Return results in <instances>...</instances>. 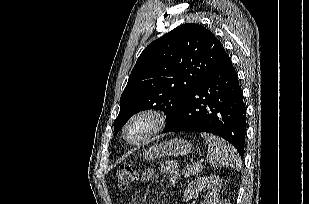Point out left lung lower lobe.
I'll return each instance as SVG.
<instances>
[{"label":"left lung lower lobe","instance_id":"left-lung-lower-lobe-1","mask_svg":"<svg viewBox=\"0 0 309 204\" xmlns=\"http://www.w3.org/2000/svg\"><path fill=\"white\" fill-rule=\"evenodd\" d=\"M246 125V108L238 75L226 54L166 122L163 133H212L230 142L243 157Z\"/></svg>","mask_w":309,"mask_h":204}]
</instances>
